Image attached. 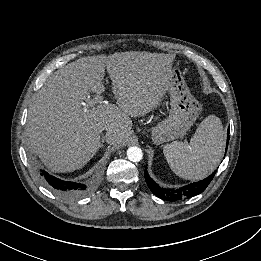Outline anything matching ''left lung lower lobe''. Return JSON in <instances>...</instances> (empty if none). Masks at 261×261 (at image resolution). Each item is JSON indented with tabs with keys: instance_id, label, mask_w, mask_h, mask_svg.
Wrapping results in <instances>:
<instances>
[{
	"instance_id": "0a47b994",
	"label": "left lung lower lobe",
	"mask_w": 261,
	"mask_h": 261,
	"mask_svg": "<svg viewBox=\"0 0 261 261\" xmlns=\"http://www.w3.org/2000/svg\"><path fill=\"white\" fill-rule=\"evenodd\" d=\"M228 142H229V130L227 134V145ZM214 175L215 172H213L210 176H208L204 180L188 184L178 189H164L161 188L157 183H155V181H153L150 178V176L147 173V170H145L144 173L146 183L149 189L151 190V192L157 197L170 202L179 201L200 194L207 188V186L213 179Z\"/></svg>"
}]
</instances>
